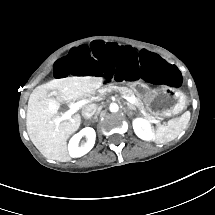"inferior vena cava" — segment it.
Returning a JSON list of instances; mask_svg holds the SVG:
<instances>
[{
	"label": "inferior vena cava",
	"mask_w": 215,
	"mask_h": 215,
	"mask_svg": "<svg viewBox=\"0 0 215 215\" xmlns=\"http://www.w3.org/2000/svg\"><path fill=\"white\" fill-rule=\"evenodd\" d=\"M97 107L95 104H89L86 105L83 109H82V116L85 119H90L95 113H96Z\"/></svg>",
	"instance_id": "inferior-vena-cava-1"
}]
</instances>
